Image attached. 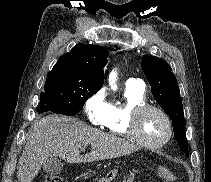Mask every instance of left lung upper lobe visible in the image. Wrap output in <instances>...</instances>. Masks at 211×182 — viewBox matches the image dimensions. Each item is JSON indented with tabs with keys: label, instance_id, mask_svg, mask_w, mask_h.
<instances>
[{
	"label": "left lung upper lobe",
	"instance_id": "obj_1",
	"mask_svg": "<svg viewBox=\"0 0 211 182\" xmlns=\"http://www.w3.org/2000/svg\"><path fill=\"white\" fill-rule=\"evenodd\" d=\"M141 66L151 85L153 97L172 120L180 149L189 157L183 105L171 67L164 60L151 55L143 56Z\"/></svg>",
	"mask_w": 211,
	"mask_h": 182
}]
</instances>
